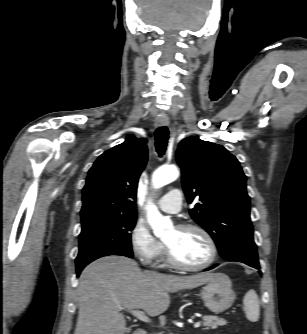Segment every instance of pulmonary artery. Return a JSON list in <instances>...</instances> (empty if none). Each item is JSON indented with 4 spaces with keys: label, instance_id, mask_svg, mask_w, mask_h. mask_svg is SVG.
I'll return each mask as SVG.
<instances>
[{
    "label": "pulmonary artery",
    "instance_id": "pulmonary-artery-1",
    "mask_svg": "<svg viewBox=\"0 0 307 334\" xmlns=\"http://www.w3.org/2000/svg\"><path fill=\"white\" fill-rule=\"evenodd\" d=\"M182 193L179 189H171L158 201V207L167 213H177L182 207Z\"/></svg>",
    "mask_w": 307,
    "mask_h": 334
}]
</instances>
